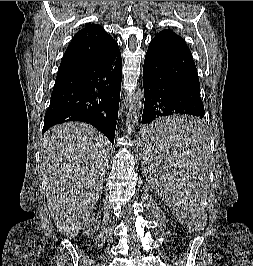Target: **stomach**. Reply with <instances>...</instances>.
<instances>
[{"label": "stomach", "mask_w": 253, "mask_h": 266, "mask_svg": "<svg viewBox=\"0 0 253 266\" xmlns=\"http://www.w3.org/2000/svg\"><path fill=\"white\" fill-rule=\"evenodd\" d=\"M140 138H146L144 134ZM140 138H139V144H140Z\"/></svg>", "instance_id": "0dacf381"}]
</instances>
